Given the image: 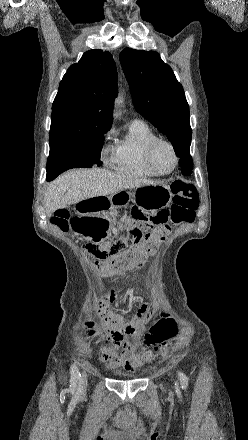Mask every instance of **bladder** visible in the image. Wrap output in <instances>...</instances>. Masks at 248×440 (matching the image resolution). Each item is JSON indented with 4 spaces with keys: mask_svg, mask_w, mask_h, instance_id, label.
I'll return each mask as SVG.
<instances>
[{
    "mask_svg": "<svg viewBox=\"0 0 248 440\" xmlns=\"http://www.w3.org/2000/svg\"><path fill=\"white\" fill-rule=\"evenodd\" d=\"M115 376L120 379H131L134 375L125 370H118L115 372Z\"/></svg>",
    "mask_w": 248,
    "mask_h": 440,
    "instance_id": "bladder-1",
    "label": "bladder"
}]
</instances>
